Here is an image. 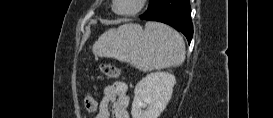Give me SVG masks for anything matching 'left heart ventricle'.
Segmentation results:
<instances>
[{"label":"left heart ventricle","instance_id":"obj_1","mask_svg":"<svg viewBox=\"0 0 273 118\" xmlns=\"http://www.w3.org/2000/svg\"><path fill=\"white\" fill-rule=\"evenodd\" d=\"M136 0H119L117 3V9L119 11L132 10L136 6Z\"/></svg>","mask_w":273,"mask_h":118}]
</instances>
